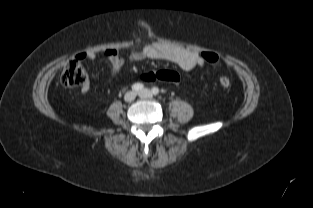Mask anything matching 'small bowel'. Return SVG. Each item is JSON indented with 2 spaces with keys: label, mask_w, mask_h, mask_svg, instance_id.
I'll list each match as a JSON object with an SVG mask.
<instances>
[{
  "label": "small bowel",
  "mask_w": 313,
  "mask_h": 208,
  "mask_svg": "<svg viewBox=\"0 0 313 208\" xmlns=\"http://www.w3.org/2000/svg\"><path fill=\"white\" fill-rule=\"evenodd\" d=\"M103 56L110 64L111 70L113 72H118L123 67L126 60L130 62H138L145 59L166 60L176 64L183 70H191L195 67H201L205 63L200 54L197 52L169 47L160 43L145 45L142 48L131 52L127 58L122 56L121 52L116 49L106 50ZM95 57L96 54L94 52H87L81 54L79 59L93 60ZM89 88L90 85L87 82L81 88V94L85 95L89 91Z\"/></svg>",
  "instance_id": "small-bowel-1"
}]
</instances>
